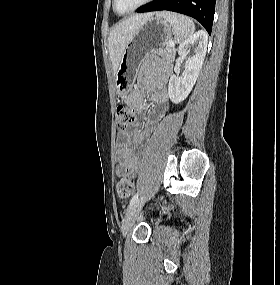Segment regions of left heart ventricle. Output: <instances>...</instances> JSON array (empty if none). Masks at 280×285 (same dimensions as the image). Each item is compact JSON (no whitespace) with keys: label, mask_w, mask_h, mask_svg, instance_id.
Listing matches in <instances>:
<instances>
[{"label":"left heart ventricle","mask_w":280,"mask_h":285,"mask_svg":"<svg viewBox=\"0 0 280 285\" xmlns=\"http://www.w3.org/2000/svg\"><path fill=\"white\" fill-rule=\"evenodd\" d=\"M142 0H117V9L119 12H126L134 8Z\"/></svg>","instance_id":"obj_1"}]
</instances>
